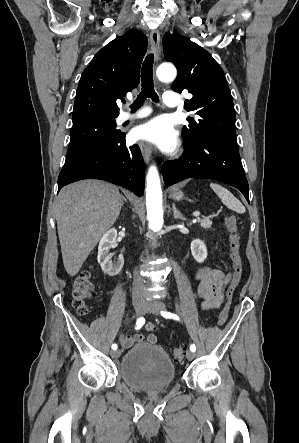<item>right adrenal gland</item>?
I'll use <instances>...</instances> for the list:
<instances>
[{
    "label": "right adrenal gland",
    "mask_w": 299,
    "mask_h": 443,
    "mask_svg": "<svg viewBox=\"0 0 299 443\" xmlns=\"http://www.w3.org/2000/svg\"><path fill=\"white\" fill-rule=\"evenodd\" d=\"M127 202L126 198L122 196V206H124V203Z\"/></svg>",
    "instance_id": "right-adrenal-gland-1"
}]
</instances>
